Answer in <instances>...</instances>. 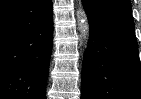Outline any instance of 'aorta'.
Listing matches in <instances>:
<instances>
[{
	"label": "aorta",
	"instance_id": "1",
	"mask_svg": "<svg viewBox=\"0 0 141 99\" xmlns=\"http://www.w3.org/2000/svg\"><path fill=\"white\" fill-rule=\"evenodd\" d=\"M76 17H77V27L80 32V38L84 43H87L90 36L89 22H88L87 13L81 4V1H79V5L76 10Z\"/></svg>",
	"mask_w": 141,
	"mask_h": 99
}]
</instances>
